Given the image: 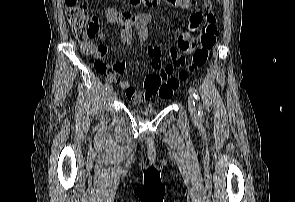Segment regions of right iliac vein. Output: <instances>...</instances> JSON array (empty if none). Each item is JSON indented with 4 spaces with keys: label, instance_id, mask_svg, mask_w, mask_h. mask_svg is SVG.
Returning <instances> with one entry per match:
<instances>
[{
    "label": "right iliac vein",
    "instance_id": "right-iliac-vein-1",
    "mask_svg": "<svg viewBox=\"0 0 295 202\" xmlns=\"http://www.w3.org/2000/svg\"><path fill=\"white\" fill-rule=\"evenodd\" d=\"M112 92H113V88H112V87H108V89H107V94H108V95H111Z\"/></svg>",
    "mask_w": 295,
    "mask_h": 202
}]
</instances>
